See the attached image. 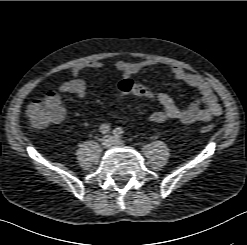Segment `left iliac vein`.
Masks as SVG:
<instances>
[{
	"label": "left iliac vein",
	"instance_id": "1",
	"mask_svg": "<svg viewBox=\"0 0 247 245\" xmlns=\"http://www.w3.org/2000/svg\"><path fill=\"white\" fill-rule=\"evenodd\" d=\"M113 139H114V145H123L124 144V142L119 138L113 137Z\"/></svg>",
	"mask_w": 247,
	"mask_h": 245
}]
</instances>
